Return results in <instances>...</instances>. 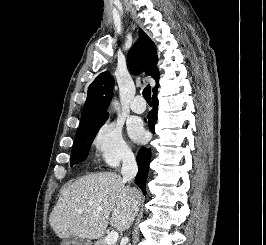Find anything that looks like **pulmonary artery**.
Here are the masks:
<instances>
[{
	"label": "pulmonary artery",
	"instance_id": "obj_1",
	"mask_svg": "<svg viewBox=\"0 0 266 245\" xmlns=\"http://www.w3.org/2000/svg\"><path fill=\"white\" fill-rule=\"evenodd\" d=\"M143 97L141 95L135 96L130 104V108L135 113H143L146 110V105L143 103Z\"/></svg>",
	"mask_w": 266,
	"mask_h": 245
}]
</instances>
